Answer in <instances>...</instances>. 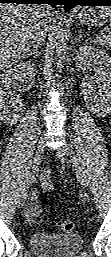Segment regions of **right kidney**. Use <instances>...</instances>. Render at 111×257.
<instances>
[{"instance_id":"right-kidney-1","label":"right kidney","mask_w":111,"mask_h":257,"mask_svg":"<svg viewBox=\"0 0 111 257\" xmlns=\"http://www.w3.org/2000/svg\"><path fill=\"white\" fill-rule=\"evenodd\" d=\"M35 76V67L30 63H19L13 68L5 70L1 75L0 104L1 119L5 122H13L19 117L22 110V101L19 96H15L12 90L19 81H25V89H29V82Z\"/></svg>"}]
</instances>
